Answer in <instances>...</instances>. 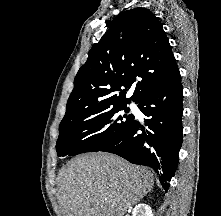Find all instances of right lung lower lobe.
Here are the masks:
<instances>
[{
    "label": "right lung lower lobe",
    "mask_w": 221,
    "mask_h": 216,
    "mask_svg": "<svg viewBox=\"0 0 221 216\" xmlns=\"http://www.w3.org/2000/svg\"><path fill=\"white\" fill-rule=\"evenodd\" d=\"M182 98L181 76L177 70L138 101L141 112L149 117L145 120L148 128L134 119L116 140L100 151L153 168L167 191L182 144Z\"/></svg>",
    "instance_id": "98d812e1"
}]
</instances>
